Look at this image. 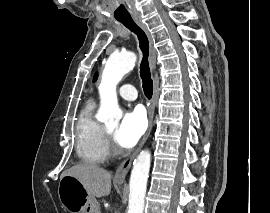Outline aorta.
<instances>
[{
	"label": "aorta",
	"instance_id": "1",
	"mask_svg": "<svg viewBox=\"0 0 270 213\" xmlns=\"http://www.w3.org/2000/svg\"><path fill=\"white\" fill-rule=\"evenodd\" d=\"M136 54L133 52L112 53L103 70L99 86L101 104L97 118L107 124H117L122 117L118 105L116 86L129 73L136 63ZM151 163V153L143 150L133 162L130 176L129 207L127 213H143L147 180Z\"/></svg>",
	"mask_w": 270,
	"mask_h": 213
}]
</instances>
